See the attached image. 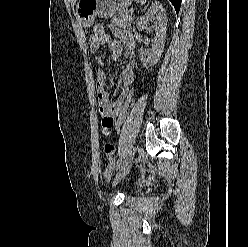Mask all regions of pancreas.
<instances>
[{"instance_id":"obj_1","label":"pancreas","mask_w":248,"mask_h":247,"mask_svg":"<svg viewBox=\"0 0 248 247\" xmlns=\"http://www.w3.org/2000/svg\"><path fill=\"white\" fill-rule=\"evenodd\" d=\"M132 17L129 11H125L120 16L113 17V25L126 29L131 26Z\"/></svg>"}]
</instances>
